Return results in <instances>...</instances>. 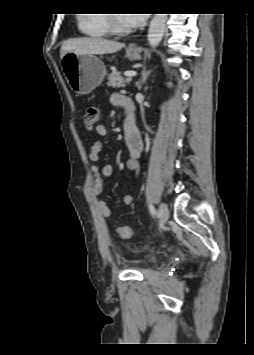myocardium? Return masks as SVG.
I'll use <instances>...</instances> for the list:
<instances>
[{
  "label": "myocardium",
  "mask_w": 254,
  "mask_h": 355,
  "mask_svg": "<svg viewBox=\"0 0 254 355\" xmlns=\"http://www.w3.org/2000/svg\"><path fill=\"white\" fill-rule=\"evenodd\" d=\"M108 27H109V31L111 34L114 35H126L129 34L131 32V29L128 27H123L120 24V21L118 19V15H108Z\"/></svg>",
  "instance_id": "obj_1"
}]
</instances>
